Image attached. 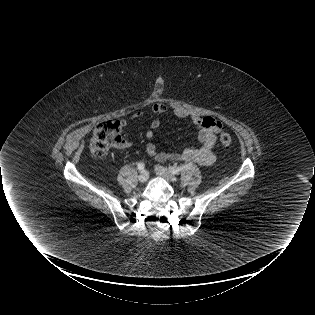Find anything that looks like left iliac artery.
<instances>
[{
    "mask_svg": "<svg viewBox=\"0 0 315 315\" xmlns=\"http://www.w3.org/2000/svg\"><path fill=\"white\" fill-rule=\"evenodd\" d=\"M192 167V164H186L184 166H181V167H169V171L172 173V174H180L181 172H184L188 169H190Z\"/></svg>",
    "mask_w": 315,
    "mask_h": 315,
    "instance_id": "44dca946",
    "label": "left iliac artery"
}]
</instances>
